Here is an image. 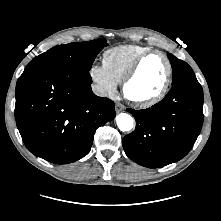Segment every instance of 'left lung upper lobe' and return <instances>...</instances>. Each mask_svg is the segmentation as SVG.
Returning <instances> with one entry per match:
<instances>
[{
    "label": "left lung upper lobe",
    "instance_id": "obj_1",
    "mask_svg": "<svg viewBox=\"0 0 221 221\" xmlns=\"http://www.w3.org/2000/svg\"><path fill=\"white\" fill-rule=\"evenodd\" d=\"M168 58L172 65L173 71L172 85L189 78H196L192 68L186 62L169 53Z\"/></svg>",
    "mask_w": 221,
    "mask_h": 221
}]
</instances>
